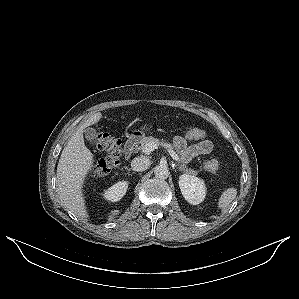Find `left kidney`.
I'll return each instance as SVG.
<instances>
[{
  "label": "left kidney",
  "instance_id": "1",
  "mask_svg": "<svg viewBox=\"0 0 299 299\" xmlns=\"http://www.w3.org/2000/svg\"><path fill=\"white\" fill-rule=\"evenodd\" d=\"M179 187L185 200L192 205H197L201 203L205 198V183L202 179L194 175H180Z\"/></svg>",
  "mask_w": 299,
  "mask_h": 299
}]
</instances>
